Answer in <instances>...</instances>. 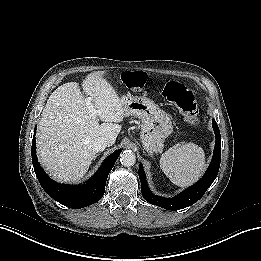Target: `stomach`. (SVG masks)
Masks as SVG:
<instances>
[{"label":"stomach","mask_w":261,"mask_h":261,"mask_svg":"<svg viewBox=\"0 0 261 261\" xmlns=\"http://www.w3.org/2000/svg\"><path fill=\"white\" fill-rule=\"evenodd\" d=\"M125 115L141 120L140 139L148 153L161 152L165 139L172 133L173 125L170 117L158 105L146 97H121Z\"/></svg>","instance_id":"obj_1"}]
</instances>
